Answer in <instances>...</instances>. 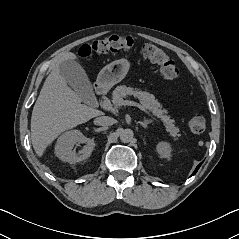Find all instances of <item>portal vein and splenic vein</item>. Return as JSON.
<instances>
[{
  "label": "portal vein and splenic vein",
  "mask_w": 239,
  "mask_h": 239,
  "mask_svg": "<svg viewBox=\"0 0 239 239\" xmlns=\"http://www.w3.org/2000/svg\"><path fill=\"white\" fill-rule=\"evenodd\" d=\"M117 103H118L119 106H122V105L136 106V107H138L141 111L145 112V113L148 114V115H151L142 105H140V104L137 103V102L120 99V100H118Z\"/></svg>",
  "instance_id": "18ae733b"
}]
</instances>
